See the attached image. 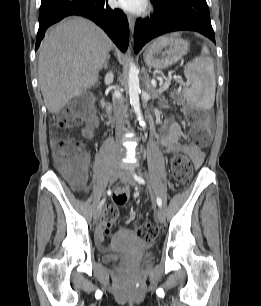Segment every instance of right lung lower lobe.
Segmentation results:
<instances>
[{
    "instance_id": "obj_1",
    "label": "right lung lower lobe",
    "mask_w": 261,
    "mask_h": 306,
    "mask_svg": "<svg viewBox=\"0 0 261 306\" xmlns=\"http://www.w3.org/2000/svg\"><path fill=\"white\" fill-rule=\"evenodd\" d=\"M108 0H41L39 10V30L36 47L38 49L45 31L52 24L69 15H81L99 25L125 52L128 46L129 25L126 15L120 9H112Z\"/></svg>"
}]
</instances>
